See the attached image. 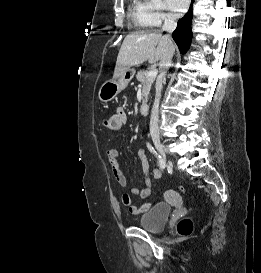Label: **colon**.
Instances as JSON below:
<instances>
[{"label":"colon","instance_id":"1","mask_svg":"<svg viewBox=\"0 0 261 273\" xmlns=\"http://www.w3.org/2000/svg\"><path fill=\"white\" fill-rule=\"evenodd\" d=\"M104 123H105L106 128H108L109 130L118 131L121 129L120 118L115 115L107 117ZM180 191L182 193H186V191L183 187H180ZM168 196L174 200L177 199L176 196H174L172 193H168ZM177 231L180 236L190 235V233L192 231L191 221L188 219H184V220L180 221L177 226Z\"/></svg>","mask_w":261,"mask_h":273}]
</instances>
